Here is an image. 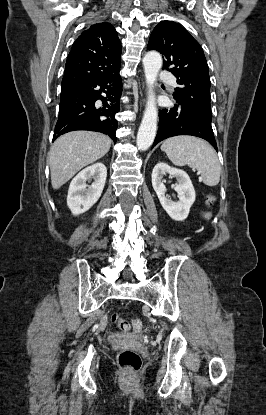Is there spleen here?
<instances>
[{
	"label": "spleen",
	"mask_w": 266,
	"mask_h": 415,
	"mask_svg": "<svg viewBox=\"0 0 266 415\" xmlns=\"http://www.w3.org/2000/svg\"><path fill=\"white\" fill-rule=\"evenodd\" d=\"M161 150L174 165L197 169L199 181L205 185L212 187L219 183L221 166L215 150L207 142L192 136H176L164 141Z\"/></svg>",
	"instance_id": "1"
}]
</instances>
